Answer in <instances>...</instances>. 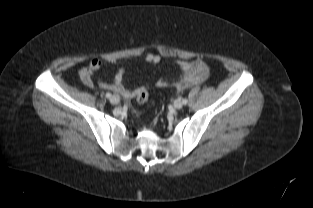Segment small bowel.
I'll return each mask as SVG.
<instances>
[{"label":"small bowel","instance_id":"small-bowel-1","mask_svg":"<svg viewBox=\"0 0 313 208\" xmlns=\"http://www.w3.org/2000/svg\"><path fill=\"white\" fill-rule=\"evenodd\" d=\"M144 60L147 63L158 64L161 61L159 55L148 53L145 55ZM178 65L183 73L182 78L175 86L178 90H184L192 85L204 82L209 76V69L202 60L194 61H178ZM102 61L99 59H93L89 64L79 71V77L81 82L88 88L93 87V76L101 68ZM101 88L105 90L114 91L126 99H132L137 96L139 91L143 88L129 89L124 85V70L120 68L115 74L111 82L99 81ZM168 83L164 80H160L157 83L158 87H166Z\"/></svg>","mask_w":313,"mask_h":208}]
</instances>
